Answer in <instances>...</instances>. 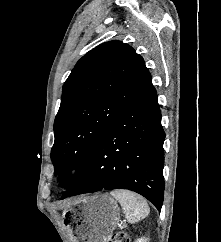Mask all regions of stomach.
<instances>
[{"instance_id": "0dacf381", "label": "stomach", "mask_w": 221, "mask_h": 242, "mask_svg": "<svg viewBox=\"0 0 221 242\" xmlns=\"http://www.w3.org/2000/svg\"><path fill=\"white\" fill-rule=\"evenodd\" d=\"M68 210L72 242H108L120 219L119 206L108 194L81 196Z\"/></svg>"}]
</instances>
